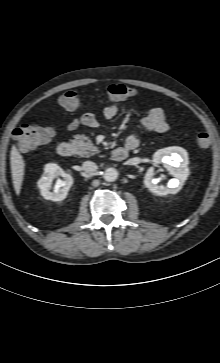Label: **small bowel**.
Instances as JSON below:
<instances>
[{"label":"small bowel","mask_w":220,"mask_h":363,"mask_svg":"<svg viewBox=\"0 0 220 363\" xmlns=\"http://www.w3.org/2000/svg\"><path fill=\"white\" fill-rule=\"evenodd\" d=\"M118 114V107L115 104L107 106L103 111V117L107 120L114 119ZM99 124L98 116L91 111L84 113L79 119L72 121L68 130L73 131L79 126L96 127ZM142 126L156 133H165L169 129V125L165 118V113L162 108H152L147 115L142 119ZM140 144V136L136 131H132L125 141V146L128 149H135Z\"/></svg>","instance_id":"obj_1"}]
</instances>
